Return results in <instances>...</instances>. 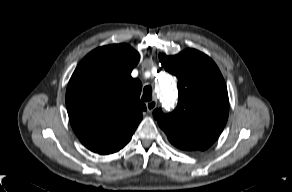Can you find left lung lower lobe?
I'll use <instances>...</instances> for the list:
<instances>
[{
  "mask_svg": "<svg viewBox=\"0 0 292 192\" xmlns=\"http://www.w3.org/2000/svg\"><path fill=\"white\" fill-rule=\"evenodd\" d=\"M180 149H183V148H180ZM183 150H189V149H183Z\"/></svg>",
  "mask_w": 292,
  "mask_h": 192,
  "instance_id": "left-lung-lower-lobe-1",
  "label": "left lung lower lobe"
}]
</instances>
